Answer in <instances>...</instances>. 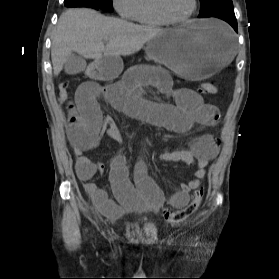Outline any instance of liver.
<instances>
[{
	"mask_svg": "<svg viewBox=\"0 0 279 279\" xmlns=\"http://www.w3.org/2000/svg\"><path fill=\"white\" fill-rule=\"evenodd\" d=\"M163 29L106 17L88 8L68 9L61 14L52 37L51 59L58 75L73 51L94 59L132 55ZM104 41L107 44L104 45Z\"/></svg>",
	"mask_w": 279,
	"mask_h": 279,
	"instance_id": "1",
	"label": "liver"
}]
</instances>
